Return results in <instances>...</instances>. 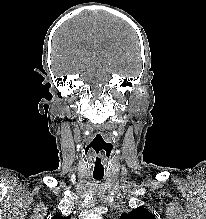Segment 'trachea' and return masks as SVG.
<instances>
[{"label":"trachea","instance_id":"3493384b","mask_svg":"<svg viewBox=\"0 0 206 219\" xmlns=\"http://www.w3.org/2000/svg\"><path fill=\"white\" fill-rule=\"evenodd\" d=\"M93 178H94L96 181H100L101 179H103V175H94V174H93Z\"/></svg>","mask_w":206,"mask_h":219}]
</instances>
